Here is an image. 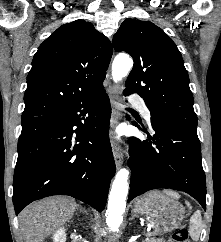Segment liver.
Here are the masks:
<instances>
[{
    "label": "liver",
    "mask_w": 221,
    "mask_h": 242,
    "mask_svg": "<svg viewBox=\"0 0 221 242\" xmlns=\"http://www.w3.org/2000/svg\"><path fill=\"white\" fill-rule=\"evenodd\" d=\"M76 209L77 203L68 197H52L32 203L19 215L24 242H44L73 217Z\"/></svg>",
    "instance_id": "obj_1"
}]
</instances>
